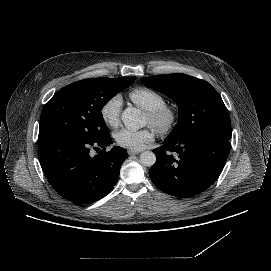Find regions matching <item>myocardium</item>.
<instances>
[{"instance_id": "1", "label": "myocardium", "mask_w": 271, "mask_h": 271, "mask_svg": "<svg viewBox=\"0 0 271 271\" xmlns=\"http://www.w3.org/2000/svg\"><path fill=\"white\" fill-rule=\"evenodd\" d=\"M149 124L158 132L165 133L175 124L177 119L176 110L169 105H162L148 111Z\"/></svg>"}]
</instances>
